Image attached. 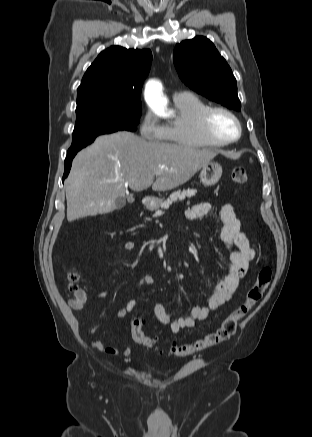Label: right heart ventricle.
<instances>
[{
	"mask_svg": "<svg viewBox=\"0 0 312 437\" xmlns=\"http://www.w3.org/2000/svg\"><path fill=\"white\" fill-rule=\"evenodd\" d=\"M175 117L164 125V141L188 148L215 146L208 142L199 130V115L209 107L204 101L190 93L174 100Z\"/></svg>",
	"mask_w": 312,
	"mask_h": 437,
	"instance_id": "right-heart-ventricle-1",
	"label": "right heart ventricle"
}]
</instances>
